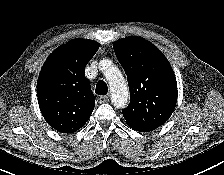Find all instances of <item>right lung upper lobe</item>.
I'll return each instance as SVG.
<instances>
[{
  "label": "right lung upper lobe",
  "instance_id": "right-lung-upper-lobe-1",
  "mask_svg": "<svg viewBox=\"0 0 224 175\" xmlns=\"http://www.w3.org/2000/svg\"><path fill=\"white\" fill-rule=\"evenodd\" d=\"M98 49L95 41L72 40L44 63L37 81L38 103L46 122L57 131L73 133L90 118L95 97L84 69Z\"/></svg>",
  "mask_w": 224,
  "mask_h": 175
}]
</instances>
